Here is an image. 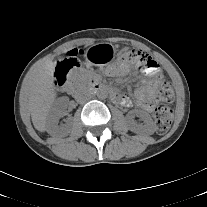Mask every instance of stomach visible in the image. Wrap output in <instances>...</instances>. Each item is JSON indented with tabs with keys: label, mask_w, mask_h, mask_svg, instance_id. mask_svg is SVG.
Returning <instances> with one entry per match:
<instances>
[{
	"label": "stomach",
	"mask_w": 207,
	"mask_h": 207,
	"mask_svg": "<svg viewBox=\"0 0 207 207\" xmlns=\"http://www.w3.org/2000/svg\"><path fill=\"white\" fill-rule=\"evenodd\" d=\"M87 59L97 66H108L114 62V48L108 43L93 45L87 53Z\"/></svg>",
	"instance_id": "0dacf381"
}]
</instances>
